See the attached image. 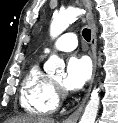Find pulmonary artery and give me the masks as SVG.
<instances>
[{
  "label": "pulmonary artery",
  "instance_id": "obj_1",
  "mask_svg": "<svg viewBox=\"0 0 118 123\" xmlns=\"http://www.w3.org/2000/svg\"><path fill=\"white\" fill-rule=\"evenodd\" d=\"M78 37L75 33H65L60 36L51 46L44 49V54H49L54 50L72 51L77 47Z\"/></svg>",
  "mask_w": 118,
  "mask_h": 123
}]
</instances>
